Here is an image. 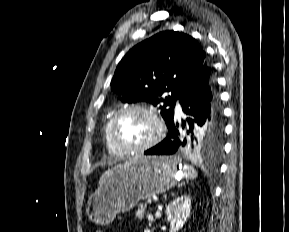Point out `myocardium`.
I'll list each match as a JSON object with an SVG mask.
<instances>
[{
    "label": "myocardium",
    "mask_w": 289,
    "mask_h": 232,
    "mask_svg": "<svg viewBox=\"0 0 289 232\" xmlns=\"http://www.w3.org/2000/svg\"><path fill=\"white\" fill-rule=\"evenodd\" d=\"M128 111L143 112L146 115H148L150 117V119L152 120L154 127H155V131H154V134L151 137V139L148 142H146L145 144L132 147V146L123 145L117 140L116 133H115L117 120L120 117V115H122L123 113L128 112ZM163 134H164V125L162 123L161 118L159 117V115L157 114V112L153 108H151L147 105H143V104H129V105H125V106L119 108L113 114L111 121H110V125H109V136H110L112 143L114 144V146L117 149H119L121 152H123L125 154L144 153V152L152 149L158 143H160V141L163 138Z\"/></svg>",
    "instance_id": "myocardium-1"
}]
</instances>
